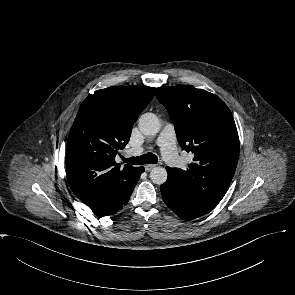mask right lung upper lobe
I'll return each mask as SVG.
<instances>
[{"label":"right lung upper lobe","mask_w":295,"mask_h":295,"mask_svg":"<svg viewBox=\"0 0 295 295\" xmlns=\"http://www.w3.org/2000/svg\"><path fill=\"white\" fill-rule=\"evenodd\" d=\"M154 92L153 87L114 86L90 94L80 106L68 136L66 172L75 195L91 209L110 199L136 170L120 167L115 156Z\"/></svg>","instance_id":"right-lung-upper-lobe-1"}]
</instances>
